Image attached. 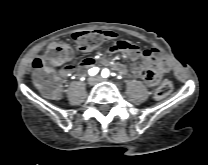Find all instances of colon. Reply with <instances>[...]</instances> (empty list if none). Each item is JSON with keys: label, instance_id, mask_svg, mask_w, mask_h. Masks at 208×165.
I'll return each mask as SVG.
<instances>
[{"label": "colon", "instance_id": "1", "mask_svg": "<svg viewBox=\"0 0 208 165\" xmlns=\"http://www.w3.org/2000/svg\"><path fill=\"white\" fill-rule=\"evenodd\" d=\"M103 35L99 31H81L73 34V40L80 51H89L97 47L103 41ZM73 50L64 43H53L45 55L37 56L32 62V78L35 86L46 96L54 98L59 95L61 85L55 73L56 67L71 61ZM173 84L165 79L156 89L154 97L157 100L166 98L172 91Z\"/></svg>", "mask_w": 208, "mask_h": 165}]
</instances>
